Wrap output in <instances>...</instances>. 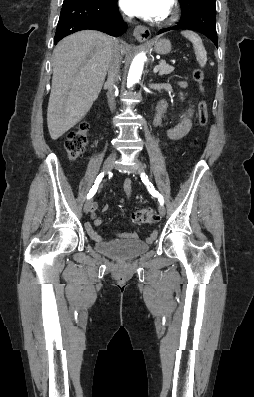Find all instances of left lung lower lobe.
I'll use <instances>...</instances> for the list:
<instances>
[{
    "label": "left lung lower lobe",
    "instance_id": "0a47b994",
    "mask_svg": "<svg viewBox=\"0 0 254 397\" xmlns=\"http://www.w3.org/2000/svg\"><path fill=\"white\" fill-rule=\"evenodd\" d=\"M182 15L177 26L159 30V34L174 29H189L206 35L218 47L215 0L179 1Z\"/></svg>",
    "mask_w": 254,
    "mask_h": 397
}]
</instances>
